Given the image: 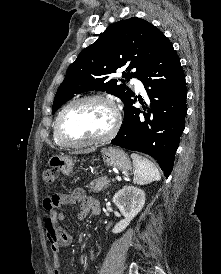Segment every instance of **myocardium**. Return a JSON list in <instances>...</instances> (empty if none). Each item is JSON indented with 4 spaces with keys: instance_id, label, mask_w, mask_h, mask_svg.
Here are the masks:
<instances>
[{
    "instance_id": "myocardium-1",
    "label": "myocardium",
    "mask_w": 221,
    "mask_h": 274,
    "mask_svg": "<svg viewBox=\"0 0 221 274\" xmlns=\"http://www.w3.org/2000/svg\"><path fill=\"white\" fill-rule=\"evenodd\" d=\"M85 102H100L103 104H106L110 107L112 113H113V123L110 127V129L102 136L92 138V139H86V140H72L65 136L63 132V119L66 115V113L74 106L85 103ZM122 122V115L121 111L117 105V103L106 96L102 95H90V96H84L77 98L70 103H68L59 113L56 121V134L59 140L65 145L69 147H83V146H89V145H95L100 144L109 141L112 139L116 133L118 132L120 125Z\"/></svg>"
}]
</instances>
